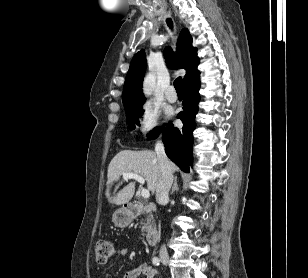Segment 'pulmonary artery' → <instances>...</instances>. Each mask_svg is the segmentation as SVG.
<instances>
[{
	"instance_id": "1",
	"label": "pulmonary artery",
	"mask_w": 308,
	"mask_h": 278,
	"mask_svg": "<svg viewBox=\"0 0 308 278\" xmlns=\"http://www.w3.org/2000/svg\"><path fill=\"white\" fill-rule=\"evenodd\" d=\"M165 96H166V99L171 103H173L177 100V94H176L173 86H169L166 89Z\"/></svg>"
}]
</instances>
